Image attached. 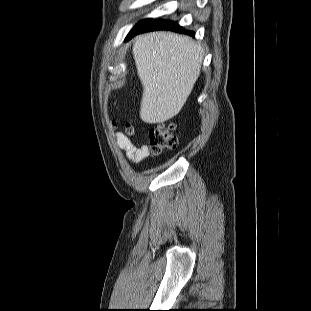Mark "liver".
Listing matches in <instances>:
<instances>
[{"instance_id":"obj_1","label":"liver","mask_w":311,"mask_h":311,"mask_svg":"<svg viewBox=\"0 0 311 311\" xmlns=\"http://www.w3.org/2000/svg\"><path fill=\"white\" fill-rule=\"evenodd\" d=\"M133 56L143 86L140 118L149 124L176 116L196 83L203 49L190 37L152 32L136 37Z\"/></svg>"}]
</instances>
